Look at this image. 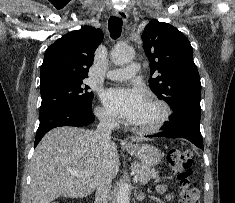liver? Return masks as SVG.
<instances>
[{
  "label": "liver",
  "instance_id": "1",
  "mask_svg": "<svg viewBox=\"0 0 235 203\" xmlns=\"http://www.w3.org/2000/svg\"><path fill=\"white\" fill-rule=\"evenodd\" d=\"M134 142L143 138L134 137ZM71 171L85 172L78 178ZM119 171L114 142H103L95 131L64 126L50 130L40 141L31 160L32 203H51L58 197L89 196L104 177L111 180Z\"/></svg>",
  "mask_w": 235,
  "mask_h": 203
}]
</instances>
